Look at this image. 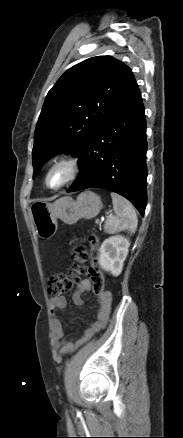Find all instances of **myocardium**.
I'll use <instances>...</instances> for the list:
<instances>
[{
  "mask_svg": "<svg viewBox=\"0 0 183 438\" xmlns=\"http://www.w3.org/2000/svg\"><path fill=\"white\" fill-rule=\"evenodd\" d=\"M58 166H63L67 169L68 171V176L67 178L58 186L56 187H52L48 184V176L50 174V172L52 171V169H54L55 167ZM80 171V163L79 160L73 156H63L60 157L56 160H54L47 168L45 175H44V183L45 186L50 189V190H59L63 187H65L66 185H68L69 183H71L73 180L76 179L77 175L79 174Z\"/></svg>",
  "mask_w": 183,
  "mask_h": 438,
  "instance_id": "f54148a6",
  "label": "myocardium"
}]
</instances>
